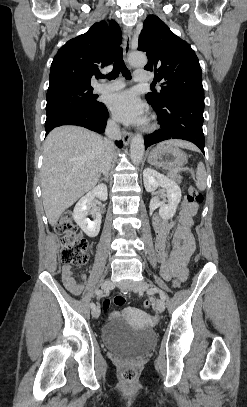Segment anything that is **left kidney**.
Segmentation results:
<instances>
[{
	"label": "left kidney",
	"instance_id": "left-kidney-1",
	"mask_svg": "<svg viewBox=\"0 0 247 407\" xmlns=\"http://www.w3.org/2000/svg\"><path fill=\"white\" fill-rule=\"evenodd\" d=\"M143 181L147 192H154L158 187L166 189L168 204L160 207L159 215L164 220L173 218L182 196L178 184L151 168L144 170Z\"/></svg>",
	"mask_w": 247,
	"mask_h": 407
}]
</instances>
